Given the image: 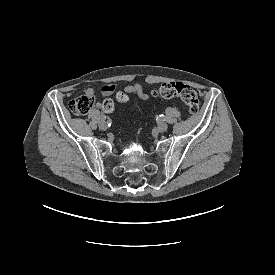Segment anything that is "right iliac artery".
I'll list each match as a JSON object with an SVG mask.
<instances>
[{"label":"right iliac artery","mask_w":275,"mask_h":275,"mask_svg":"<svg viewBox=\"0 0 275 275\" xmlns=\"http://www.w3.org/2000/svg\"><path fill=\"white\" fill-rule=\"evenodd\" d=\"M100 119H101V120H105V119H106V116L102 114V115L100 116Z\"/></svg>","instance_id":"right-iliac-artery-1"}]
</instances>
